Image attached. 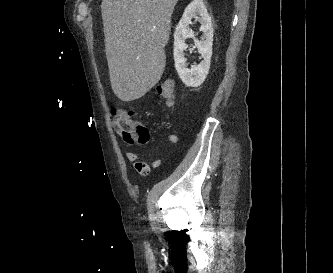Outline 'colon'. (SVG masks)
Listing matches in <instances>:
<instances>
[{
	"label": "colon",
	"mask_w": 333,
	"mask_h": 273,
	"mask_svg": "<svg viewBox=\"0 0 333 273\" xmlns=\"http://www.w3.org/2000/svg\"><path fill=\"white\" fill-rule=\"evenodd\" d=\"M160 101L170 106L174 102V88L170 80L160 83L156 88ZM113 127L115 132L128 144H146L150 134L148 129L132 114L125 110H116L113 113ZM135 168L141 175L149 172V165L144 161L135 163Z\"/></svg>",
	"instance_id": "5ec220e1"
}]
</instances>
